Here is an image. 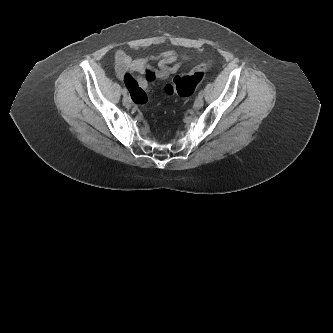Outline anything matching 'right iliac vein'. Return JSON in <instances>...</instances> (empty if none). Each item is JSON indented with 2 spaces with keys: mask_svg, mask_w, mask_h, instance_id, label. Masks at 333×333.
<instances>
[{
  "mask_svg": "<svg viewBox=\"0 0 333 333\" xmlns=\"http://www.w3.org/2000/svg\"><path fill=\"white\" fill-rule=\"evenodd\" d=\"M123 105L126 107V108H130L131 107V100L128 96H124L123 98Z\"/></svg>",
  "mask_w": 333,
  "mask_h": 333,
  "instance_id": "right-iliac-vein-1",
  "label": "right iliac vein"
}]
</instances>
